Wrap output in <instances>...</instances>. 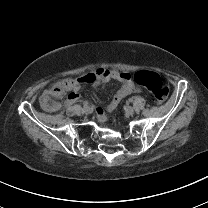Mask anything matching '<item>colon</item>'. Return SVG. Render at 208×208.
Returning a JSON list of instances; mask_svg holds the SVG:
<instances>
[{
    "mask_svg": "<svg viewBox=\"0 0 208 208\" xmlns=\"http://www.w3.org/2000/svg\"><path fill=\"white\" fill-rule=\"evenodd\" d=\"M137 84L144 86L157 101L167 98L169 88L163 79L155 72L140 71L134 74ZM74 87L83 88L85 84L76 83L71 78L54 83L46 94L39 99L38 108L42 112H56L60 108V100L73 94Z\"/></svg>",
    "mask_w": 208,
    "mask_h": 208,
    "instance_id": "obj_1",
    "label": "colon"
}]
</instances>
